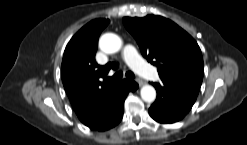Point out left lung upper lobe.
<instances>
[{"label": "left lung upper lobe", "instance_id": "obj_1", "mask_svg": "<svg viewBox=\"0 0 247 145\" xmlns=\"http://www.w3.org/2000/svg\"><path fill=\"white\" fill-rule=\"evenodd\" d=\"M142 55L157 66L162 80L176 83L198 94L204 73L201 50L196 41L169 19L148 15L123 18Z\"/></svg>", "mask_w": 247, "mask_h": 145}]
</instances>
